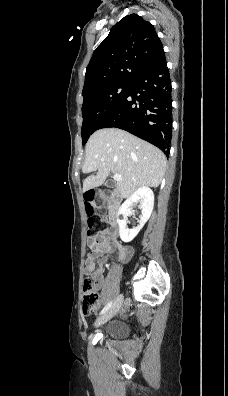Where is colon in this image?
<instances>
[{
    "label": "colon",
    "instance_id": "5ec220e1",
    "mask_svg": "<svg viewBox=\"0 0 228 396\" xmlns=\"http://www.w3.org/2000/svg\"><path fill=\"white\" fill-rule=\"evenodd\" d=\"M85 211L88 216V229L87 237L88 241L97 242L101 235V232L106 228L104 220L98 218L95 215L97 208L105 206L107 197L105 194L97 193L94 190H90L85 193ZM99 296L95 290V282L91 278H87L83 283V300H82V311L84 315H94L98 311Z\"/></svg>",
    "mask_w": 228,
    "mask_h": 396
}]
</instances>
